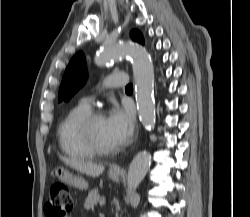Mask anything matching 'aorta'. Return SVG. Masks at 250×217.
Listing matches in <instances>:
<instances>
[{"label":"aorta","instance_id":"aorta-1","mask_svg":"<svg viewBox=\"0 0 250 217\" xmlns=\"http://www.w3.org/2000/svg\"><path fill=\"white\" fill-rule=\"evenodd\" d=\"M123 57L131 59L136 83L135 91L139 119L142 125L150 131L155 126L154 68L147 50L141 45L134 43L105 45L95 61L98 65H104L109 61ZM150 163L151 155L149 153H139L134 157L127 175L129 193L137 189L146 175Z\"/></svg>","mask_w":250,"mask_h":217}]
</instances>
